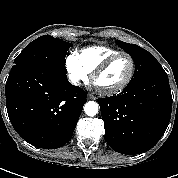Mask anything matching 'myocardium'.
<instances>
[{"label":"myocardium","instance_id":"1","mask_svg":"<svg viewBox=\"0 0 178 178\" xmlns=\"http://www.w3.org/2000/svg\"><path fill=\"white\" fill-rule=\"evenodd\" d=\"M126 56L129 61H130V71L129 74L127 76V78L124 80V82H122L120 85L111 88V89H101L96 85V79L98 78V76L103 73L114 61H116L117 59ZM135 69H136V63H135V59L134 57L127 53V52H119L116 53L114 55L109 56L108 58H106L104 61H102L96 68L95 70L92 72V82L95 86H97L99 88V90L104 94V95H114V94H118L120 92H122L124 89H126L128 87V85L131 83L134 74H135Z\"/></svg>","mask_w":178,"mask_h":178}]
</instances>
